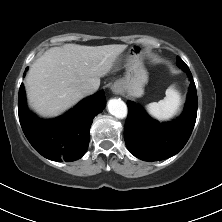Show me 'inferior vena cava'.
<instances>
[{
	"instance_id": "obj_1",
	"label": "inferior vena cava",
	"mask_w": 222,
	"mask_h": 222,
	"mask_svg": "<svg viewBox=\"0 0 222 222\" xmlns=\"http://www.w3.org/2000/svg\"><path fill=\"white\" fill-rule=\"evenodd\" d=\"M96 90H97V88L89 83H84L80 86V91L83 95H91Z\"/></svg>"
}]
</instances>
